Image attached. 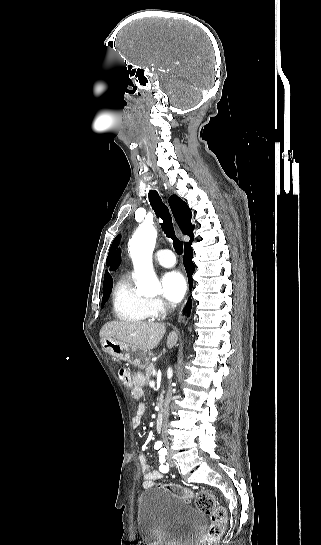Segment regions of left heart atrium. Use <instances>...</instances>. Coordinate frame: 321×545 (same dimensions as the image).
Returning a JSON list of instances; mask_svg holds the SVG:
<instances>
[{"instance_id":"1","label":"left heart atrium","mask_w":321,"mask_h":545,"mask_svg":"<svg viewBox=\"0 0 321 545\" xmlns=\"http://www.w3.org/2000/svg\"><path fill=\"white\" fill-rule=\"evenodd\" d=\"M164 298L171 303L178 302L185 294L187 283L178 271H168L161 277Z\"/></svg>"}]
</instances>
